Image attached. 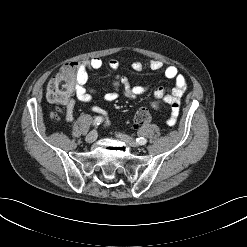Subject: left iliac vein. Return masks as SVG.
Instances as JSON below:
<instances>
[{
  "label": "left iliac vein",
  "instance_id": "1",
  "mask_svg": "<svg viewBox=\"0 0 247 247\" xmlns=\"http://www.w3.org/2000/svg\"><path fill=\"white\" fill-rule=\"evenodd\" d=\"M116 136L121 139L122 141L126 142L127 144L131 145L132 147H137L138 143L131 137L124 135L122 133H117Z\"/></svg>",
  "mask_w": 247,
  "mask_h": 247
}]
</instances>
